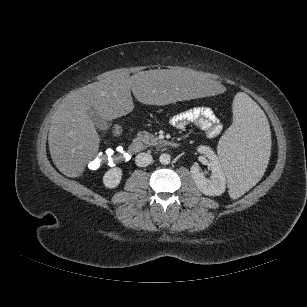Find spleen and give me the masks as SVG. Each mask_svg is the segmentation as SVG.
<instances>
[{"label":"spleen","instance_id":"spleen-1","mask_svg":"<svg viewBox=\"0 0 307 307\" xmlns=\"http://www.w3.org/2000/svg\"><path fill=\"white\" fill-rule=\"evenodd\" d=\"M232 109L233 123L219 140L217 150L228 173L229 195L237 199L265 168L270 131L263 110L247 94H236Z\"/></svg>","mask_w":307,"mask_h":307}]
</instances>
